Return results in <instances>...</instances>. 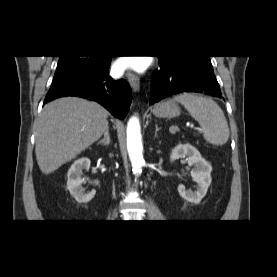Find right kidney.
<instances>
[{"mask_svg": "<svg viewBox=\"0 0 277 277\" xmlns=\"http://www.w3.org/2000/svg\"><path fill=\"white\" fill-rule=\"evenodd\" d=\"M90 163L89 158H80L71 165L67 173V189L78 203H88L96 193L95 190L85 192L82 188L81 174L84 169H89Z\"/></svg>", "mask_w": 277, "mask_h": 277, "instance_id": "right-kidney-1", "label": "right kidney"}]
</instances>
